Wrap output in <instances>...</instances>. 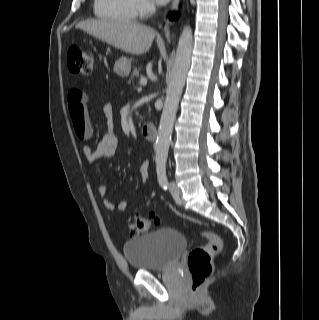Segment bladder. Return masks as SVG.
<instances>
[{
    "instance_id": "1",
    "label": "bladder",
    "mask_w": 319,
    "mask_h": 320,
    "mask_svg": "<svg viewBox=\"0 0 319 320\" xmlns=\"http://www.w3.org/2000/svg\"><path fill=\"white\" fill-rule=\"evenodd\" d=\"M188 247L186 236L172 228H161L126 241L123 252L137 271H157L173 266Z\"/></svg>"
}]
</instances>
